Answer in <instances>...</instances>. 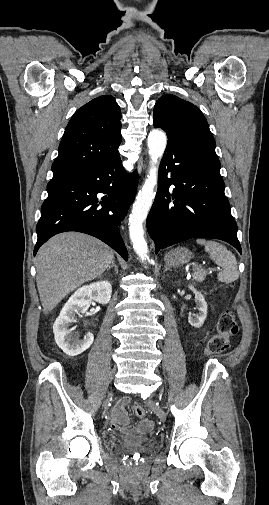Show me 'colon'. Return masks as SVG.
Here are the masks:
<instances>
[{"label":"colon","mask_w":269,"mask_h":505,"mask_svg":"<svg viewBox=\"0 0 269 505\" xmlns=\"http://www.w3.org/2000/svg\"><path fill=\"white\" fill-rule=\"evenodd\" d=\"M239 331L238 322L235 314L228 310L225 311L219 318L217 324V332L208 340L204 353L206 355H219L224 352L229 346L230 339ZM135 414L142 418L146 411L140 404L134 407Z\"/></svg>","instance_id":"colon-1"}]
</instances>
